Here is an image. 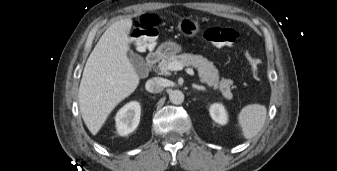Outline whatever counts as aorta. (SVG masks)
I'll list each match as a JSON object with an SVG mask.
<instances>
[{
  "mask_svg": "<svg viewBox=\"0 0 337 171\" xmlns=\"http://www.w3.org/2000/svg\"><path fill=\"white\" fill-rule=\"evenodd\" d=\"M169 99L173 104H182L184 101V94L180 90H173L169 94Z\"/></svg>",
  "mask_w": 337,
  "mask_h": 171,
  "instance_id": "762f6f07",
  "label": "aorta"
}]
</instances>
